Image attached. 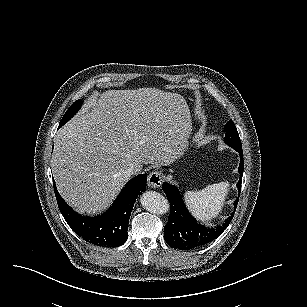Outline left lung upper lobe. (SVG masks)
Returning a JSON list of instances; mask_svg holds the SVG:
<instances>
[{"label": "left lung upper lobe", "instance_id": "left-lung-upper-lobe-1", "mask_svg": "<svg viewBox=\"0 0 307 307\" xmlns=\"http://www.w3.org/2000/svg\"><path fill=\"white\" fill-rule=\"evenodd\" d=\"M225 138L224 141L226 144L234 148L235 150H241L242 145L237 132V129L232 120L228 121L224 128Z\"/></svg>", "mask_w": 307, "mask_h": 307}]
</instances>
